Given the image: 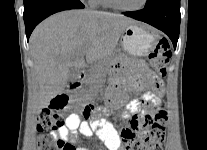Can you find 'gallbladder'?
<instances>
[{
	"mask_svg": "<svg viewBox=\"0 0 207 150\" xmlns=\"http://www.w3.org/2000/svg\"><path fill=\"white\" fill-rule=\"evenodd\" d=\"M77 78V72L74 70V69H71L69 71V77H68V80L69 81H73Z\"/></svg>",
	"mask_w": 207,
	"mask_h": 150,
	"instance_id": "bac80fb5",
	"label": "gallbladder"
}]
</instances>
